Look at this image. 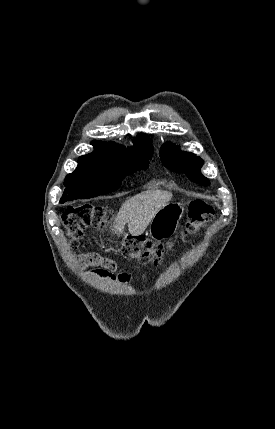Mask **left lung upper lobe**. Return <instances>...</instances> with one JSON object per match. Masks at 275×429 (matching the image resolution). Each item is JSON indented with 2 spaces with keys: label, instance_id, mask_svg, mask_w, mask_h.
Instances as JSON below:
<instances>
[{
  "label": "left lung upper lobe",
  "instance_id": "left-lung-upper-lobe-1",
  "mask_svg": "<svg viewBox=\"0 0 275 429\" xmlns=\"http://www.w3.org/2000/svg\"><path fill=\"white\" fill-rule=\"evenodd\" d=\"M160 157L163 164L172 171L186 173L191 181L200 185L208 186L210 184L200 172L203 160L196 157L195 154L180 151L178 147L167 144L161 148Z\"/></svg>",
  "mask_w": 275,
  "mask_h": 429
}]
</instances>
